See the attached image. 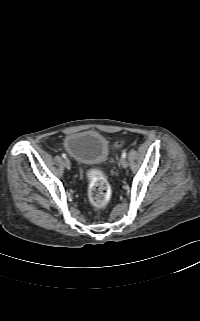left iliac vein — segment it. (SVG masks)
<instances>
[{
  "instance_id": "left-iliac-vein-1",
  "label": "left iliac vein",
  "mask_w": 200,
  "mask_h": 321,
  "mask_svg": "<svg viewBox=\"0 0 200 321\" xmlns=\"http://www.w3.org/2000/svg\"><path fill=\"white\" fill-rule=\"evenodd\" d=\"M120 163H121L123 168H126L128 166V162L123 157L120 159Z\"/></svg>"
}]
</instances>
